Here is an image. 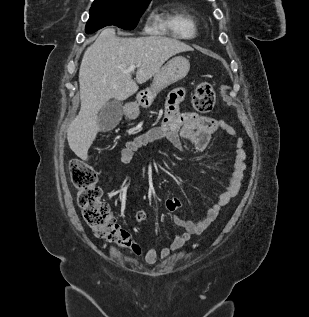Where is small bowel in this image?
<instances>
[{
    "label": "small bowel",
    "mask_w": 309,
    "mask_h": 317,
    "mask_svg": "<svg viewBox=\"0 0 309 317\" xmlns=\"http://www.w3.org/2000/svg\"><path fill=\"white\" fill-rule=\"evenodd\" d=\"M184 97V89L173 90L166 102L162 124L128 141L120 151V161L124 164L129 163L140 148L159 140L168 141L180 151L185 150L186 144L189 143L196 151L203 153L209 148L212 136L218 131H223L235 139L232 171L227 179L226 189L216 197L214 204L199 220L190 221L179 216L173 217L174 223L183 231L176 234L172 243L163 247L159 252L153 248H148L145 252V261L148 264H154L159 259L169 257L171 253L181 249L192 235L203 232L216 219L221 208L239 193L246 168L243 140L237 135L235 129L224 120L203 116L195 112L181 113L179 106ZM180 207L181 202L176 198L168 199L164 205L165 210L169 213L176 212ZM136 219L140 223L144 222L147 219L146 212L138 211Z\"/></svg>",
    "instance_id": "small-bowel-1"
}]
</instances>
